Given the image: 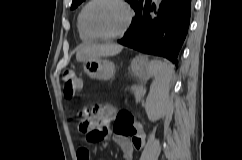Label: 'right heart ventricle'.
Here are the masks:
<instances>
[{"mask_svg":"<svg viewBox=\"0 0 242 160\" xmlns=\"http://www.w3.org/2000/svg\"><path fill=\"white\" fill-rule=\"evenodd\" d=\"M81 12L79 13L78 17H77V30H78V34H79V37L82 41H90L91 38L86 32L85 30L83 29L82 25H81Z\"/></svg>","mask_w":242,"mask_h":160,"instance_id":"e07e8e85","label":"right heart ventricle"}]
</instances>
